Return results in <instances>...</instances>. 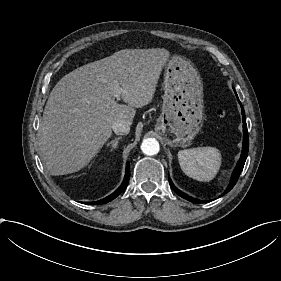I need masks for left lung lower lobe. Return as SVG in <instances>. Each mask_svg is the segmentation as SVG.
<instances>
[{
    "instance_id": "0a47b994",
    "label": "left lung lower lobe",
    "mask_w": 281,
    "mask_h": 281,
    "mask_svg": "<svg viewBox=\"0 0 281 281\" xmlns=\"http://www.w3.org/2000/svg\"><path fill=\"white\" fill-rule=\"evenodd\" d=\"M235 94H236V91L234 90ZM236 97L238 99V102L240 103L239 101V98L236 94ZM241 104V103H240ZM241 109H242V120H243V133H244V136H243V148H242V153H241V156H240V159L232 173V177H231V180H230V183H229V186L227 187V189L225 190L224 194L229 192L233 187L234 185L236 184L238 178H239V175L244 167V164H245V161H246V158H247V155H248V149H249V138H248V131H247V125H246V119H245V112H244V109L243 107L241 106ZM169 183H170V186L171 188L179 195L181 196L182 198L188 200V201H191L193 203H206V202H209V201H203V200H197L193 197H190L188 195H186L185 193L181 192L179 189H177L174 184L172 183L170 177H169ZM222 194V196L224 195Z\"/></svg>"
}]
</instances>
